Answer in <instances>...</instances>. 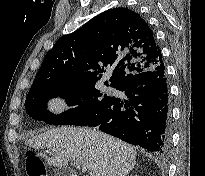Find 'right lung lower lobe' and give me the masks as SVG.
<instances>
[{
    "mask_svg": "<svg viewBox=\"0 0 205 176\" xmlns=\"http://www.w3.org/2000/svg\"><path fill=\"white\" fill-rule=\"evenodd\" d=\"M117 90L128 100L113 99L87 124L149 151L165 154L170 147L169 89L165 65L121 82Z\"/></svg>",
    "mask_w": 205,
    "mask_h": 176,
    "instance_id": "right-lung-lower-lobe-1",
    "label": "right lung lower lobe"
}]
</instances>
